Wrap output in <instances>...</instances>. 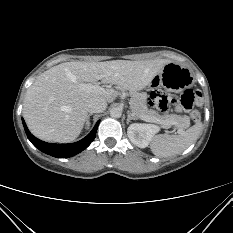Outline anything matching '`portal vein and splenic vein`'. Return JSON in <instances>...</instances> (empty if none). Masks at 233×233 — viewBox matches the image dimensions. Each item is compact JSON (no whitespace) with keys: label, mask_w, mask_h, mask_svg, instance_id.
Wrapping results in <instances>:
<instances>
[{"label":"portal vein and splenic vein","mask_w":233,"mask_h":233,"mask_svg":"<svg viewBox=\"0 0 233 233\" xmlns=\"http://www.w3.org/2000/svg\"><path fill=\"white\" fill-rule=\"evenodd\" d=\"M101 78V76H100ZM86 89L90 92H100L102 94H109V90H106L102 87H99V86H95V85H89L86 87ZM145 121H148L147 119H145ZM173 123L172 122H166V123H163L164 126H169V125H172ZM179 132H181V130H179Z\"/></svg>","instance_id":"1"}]
</instances>
